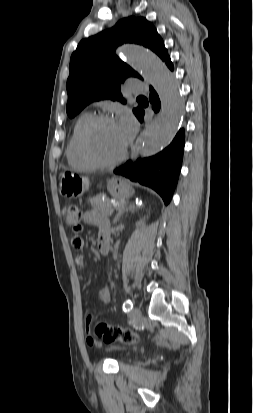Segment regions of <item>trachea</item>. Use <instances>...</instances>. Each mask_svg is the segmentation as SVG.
I'll return each mask as SVG.
<instances>
[{
  "instance_id": "1",
  "label": "trachea",
  "mask_w": 253,
  "mask_h": 413,
  "mask_svg": "<svg viewBox=\"0 0 253 413\" xmlns=\"http://www.w3.org/2000/svg\"><path fill=\"white\" fill-rule=\"evenodd\" d=\"M138 98H144L143 96H139Z\"/></svg>"
}]
</instances>
